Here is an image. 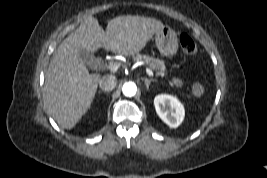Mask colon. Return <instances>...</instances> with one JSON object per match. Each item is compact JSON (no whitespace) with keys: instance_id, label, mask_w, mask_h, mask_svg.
Returning <instances> with one entry per match:
<instances>
[{"instance_id":"1","label":"colon","mask_w":267,"mask_h":178,"mask_svg":"<svg viewBox=\"0 0 267 178\" xmlns=\"http://www.w3.org/2000/svg\"><path fill=\"white\" fill-rule=\"evenodd\" d=\"M181 46L185 53L194 55L197 52L195 42L187 35H182L180 38Z\"/></svg>"}]
</instances>
